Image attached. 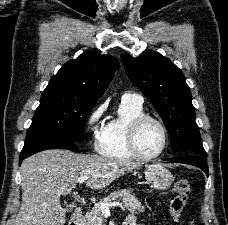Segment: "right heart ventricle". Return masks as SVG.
Instances as JSON below:
<instances>
[{
    "mask_svg": "<svg viewBox=\"0 0 228 225\" xmlns=\"http://www.w3.org/2000/svg\"><path fill=\"white\" fill-rule=\"evenodd\" d=\"M144 114L143 105L121 101L117 118L106 125L97 141L98 152L111 158H136L129 146V127L135 118Z\"/></svg>",
    "mask_w": 228,
    "mask_h": 225,
    "instance_id": "right-heart-ventricle-1",
    "label": "right heart ventricle"
}]
</instances>
